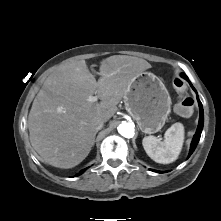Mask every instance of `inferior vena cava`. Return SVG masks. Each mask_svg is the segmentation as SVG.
<instances>
[{
	"mask_svg": "<svg viewBox=\"0 0 221 221\" xmlns=\"http://www.w3.org/2000/svg\"><path fill=\"white\" fill-rule=\"evenodd\" d=\"M104 125V122L100 119L94 120L91 122L90 127L93 132H97L98 130H101Z\"/></svg>",
	"mask_w": 221,
	"mask_h": 221,
	"instance_id": "inferior-vena-cava-1",
	"label": "inferior vena cava"
}]
</instances>
